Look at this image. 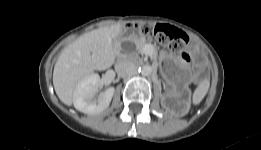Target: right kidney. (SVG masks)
Masks as SVG:
<instances>
[{
	"label": "right kidney",
	"mask_w": 261,
	"mask_h": 150,
	"mask_svg": "<svg viewBox=\"0 0 261 150\" xmlns=\"http://www.w3.org/2000/svg\"><path fill=\"white\" fill-rule=\"evenodd\" d=\"M101 80L98 74H91L80 80L73 91L74 107L86 114H97L104 111L110 104L115 89H106L98 98Z\"/></svg>",
	"instance_id": "1"
}]
</instances>
